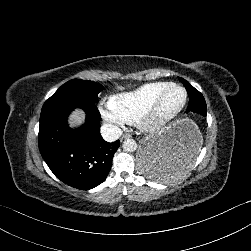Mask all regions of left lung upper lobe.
Returning <instances> with one entry per match:
<instances>
[{"label": "left lung upper lobe", "instance_id": "5c2ea615", "mask_svg": "<svg viewBox=\"0 0 251 251\" xmlns=\"http://www.w3.org/2000/svg\"><path fill=\"white\" fill-rule=\"evenodd\" d=\"M179 80L184 84L187 92L190 93L192 97H197V99L205 103V100L202 94L198 92V90H196L189 82H187L183 78H179Z\"/></svg>", "mask_w": 251, "mask_h": 251}]
</instances>
